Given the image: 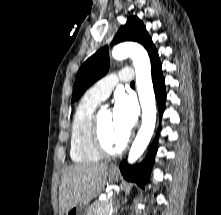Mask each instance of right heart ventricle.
I'll list each match as a JSON object with an SVG mask.
<instances>
[{
	"label": "right heart ventricle",
	"mask_w": 221,
	"mask_h": 215,
	"mask_svg": "<svg viewBox=\"0 0 221 215\" xmlns=\"http://www.w3.org/2000/svg\"><path fill=\"white\" fill-rule=\"evenodd\" d=\"M100 102L87 93L75 109L70 134V157L76 163H94L101 159L91 142L92 121Z\"/></svg>",
	"instance_id": "1"
}]
</instances>
